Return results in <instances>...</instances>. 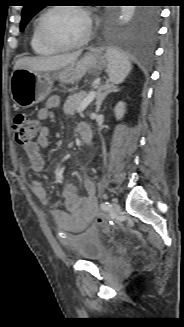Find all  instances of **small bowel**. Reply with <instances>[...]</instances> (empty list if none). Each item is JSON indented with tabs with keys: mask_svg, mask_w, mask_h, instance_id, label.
<instances>
[{
	"mask_svg": "<svg viewBox=\"0 0 184 327\" xmlns=\"http://www.w3.org/2000/svg\"><path fill=\"white\" fill-rule=\"evenodd\" d=\"M59 103L58 97L48 99L45 106L38 111L37 118L39 120H53V108L57 107ZM80 126L81 124L77 127L78 133L81 132ZM49 136L50 129L48 127H42L36 139L24 147V151L29 159L30 168L35 173L41 172L44 168L45 161L42 156V150L48 147ZM83 187L88 194L87 197L80 196L75 185L66 183L63 188L65 209H52L55 223L63 231L71 233L81 232L87 228L91 220L95 217L97 212L95 183L91 179H85L83 181ZM31 190L39 202L42 204L49 203V195L41 183L37 181L32 182Z\"/></svg>",
	"mask_w": 184,
	"mask_h": 327,
	"instance_id": "c3829d8e",
	"label": "small bowel"
}]
</instances>
